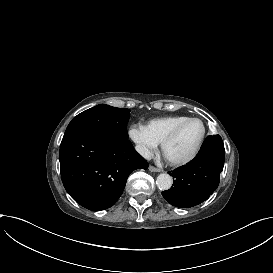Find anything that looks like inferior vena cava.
Here are the masks:
<instances>
[{
    "label": "inferior vena cava",
    "mask_w": 273,
    "mask_h": 273,
    "mask_svg": "<svg viewBox=\"0 0 273 273\" xmlns=\"http://www.w3.org/2000/svg\"><path fill=\"white\" fill-rule=\"evenodd\" d=\"M135 149H136V151H137L138 153H140L145 159H148V160L151 159L150 152H149V150H148L147 148H145V147H143V146H141V145H137V146L135 147Z\"/></svg>",
    "instance_id": "obj_1"
}]
</instances>
